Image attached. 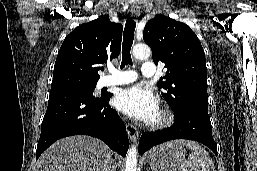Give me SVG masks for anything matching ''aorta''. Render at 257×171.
<instances>
[{"mask_svg": "<svg viewBox=\"0 0 257 171\" xmlns=\"http://www.w3.org/2000/svg\"><path fill=\"white\" fill-rule=\"evenodd\" d=\"M132 53L136 59H147L151 55V49L145 44H136ZM125 171H137V148L134 145L127 152Z\"/></svg>", "mask_w": 257, "mask_h": 171, "instance_id": "obj_1", "label": "aorta"}]
</instances>
